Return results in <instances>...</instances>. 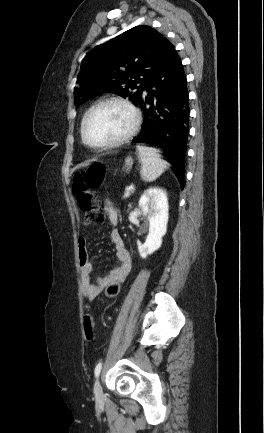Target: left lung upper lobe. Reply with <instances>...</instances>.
Returning <instances> with one entry per match:
<instances>
[{"label":"left lung upper lobe","instance_id":"obj_1","mask_svg":"<svg viewBox=\"0 0 264 433\" xmlns=\"http://www.w3.org/2000/svg\"><path fill=\"white\" fill-rule=\"evenodd\" d=\"M173 50L164 35L146 25L133 27L95 47L82 61L74 103L111 92L137 104Z\"/></svg>","mask_w":264,"mask_h":433}]
</instances>
